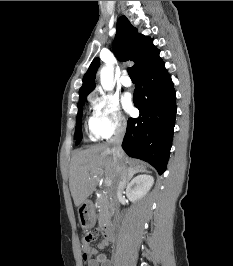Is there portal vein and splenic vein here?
I'll return each mask as SVG.
<instances>
[{"mask_svg": "<svg viewBox=\"0 0 233 266\" xmlns=\"http://www.w3.org/2000/svg\"><path fill=\"white\" fill-rule=\"evenodd\" d=\"M104 184H105L106 186H111V184H112L111 179H109V178H105V180H104Z\"/></svg>", "mask_w": 233, "mask_h": 266, "instance_id": "portal-vein-and-splenic-vein-1", "label": "portal vein and splenic vein"}]
</instances>
